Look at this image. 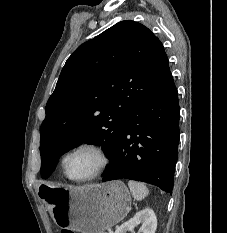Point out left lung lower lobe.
Masks as SVG:
<instances>
[{
    "mask_svg": "<svg viewBox=\"0 0 227 233\" xmlns=\"http://www.w3.org/2000/svg\"><path fill=\"white\" fill-rule=\"evenodd\" d=\"M179 114L178 93L170 74L157 92L132 110L103 181L137 180L172 194Z\"/></svg>",
    "mask_w": 227,
    "mask_h": 233,
    "instance_id": "obj_1",
    "label": "left lung lower lobe"
}]
</instances>
